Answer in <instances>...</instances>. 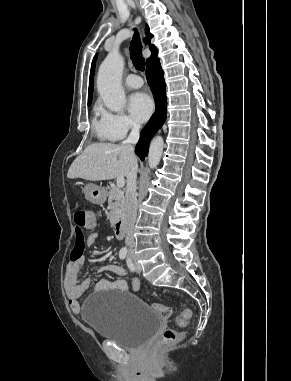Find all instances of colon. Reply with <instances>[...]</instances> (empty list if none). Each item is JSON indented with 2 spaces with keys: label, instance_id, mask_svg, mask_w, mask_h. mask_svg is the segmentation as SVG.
<instances>
[{
  "label": "colon",
  "instance_id": "colon-1",
  "mask_svg": "<svg viewBox=\"0 0 291 381\" xmlns=\"http://www.w3.org/2000/svg\"><path fill=\"white\" fill-rule=\"evenodd\" d=\"M74 222L77 226V235L80 239L83 238V231L94 230L97 226L96 216L86 209H76L73 214ZM155 311L163 319H168L172 315V308L160 303H154ZM191 318V311L184 310L176 319L179 327H186ZM181 338V333L173 328L165 330L161 339L153 347V352L157 353L163 348L176 344Z\"/></svg>",
  "mask_w": 291,
  "mask_h": 381
}]
</instances>
